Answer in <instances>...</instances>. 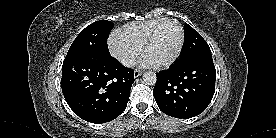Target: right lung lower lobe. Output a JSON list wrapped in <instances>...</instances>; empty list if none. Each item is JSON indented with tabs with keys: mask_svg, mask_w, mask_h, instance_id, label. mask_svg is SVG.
<instances>
[{
	"mask_svg": "<svg viewBox=\"0 0 276 138\" xmlns=\"http://www.w3.org/2000/svg\"><path fill=\"white\" fill-rule=\"evenodd\" d=\"M133 70L109 55L81 53L65 58L61 87L69 107L91 123L117 118L126 108Z\"/></svg>",
	"mask_w": 276,
	"mask_h": 138,
	"instance_id": "right-lung-lower-lobe-1",
	"label": "right lung lower lobe"
}]
</instances>
